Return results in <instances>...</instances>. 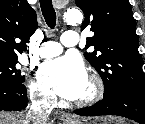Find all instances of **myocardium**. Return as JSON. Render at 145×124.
<instances>
[{
	"label": "myocardium",
	"instance_id": "f54148a6",
	"mask_svg": "<svg viewBox=\"0 0 145 124\" xmlns=\"http://www.w3.org/2000/svg\"><path fill=\"white\" fill-rule=\"evenodd\" d=\"M88 81L92 84V93L81 100H77L74 104L78 107H87L100 101L105 93V85L103 79L98 74H90L87 77Z\"/></svg>",
	"mask_w": 145,
	"mask_h": 124
}]
</instances>
